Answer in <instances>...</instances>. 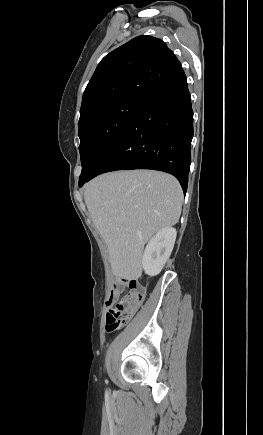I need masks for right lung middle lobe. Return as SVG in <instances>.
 <instances>
[{
  "mask_svg": "<svg viewBox=\"0 0 263 435\" xmlns=\"http://www.w3.org/2000/svg\"><path fill=\"white\" fill-rule=\"evenodd\" d=\"M143 103L124 99L101 105L78 125L82 164L79 182L96 171Z\"/></svg>",
  "mask_w": 263,
  "mask_h": 435,
  "instance_id": "obj_1",
  "label": "right lung middle lobe"
}]
</instances>
